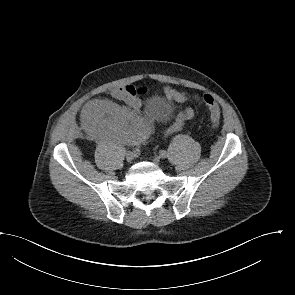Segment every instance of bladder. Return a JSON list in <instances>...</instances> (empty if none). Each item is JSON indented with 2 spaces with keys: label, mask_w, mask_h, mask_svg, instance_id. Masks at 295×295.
Here are the masks:
<instances>
[{
  "label": "bladder",
  "mask_w": 295,
  "mask_h": 295,
  "mask_svg": "<svg viewBox=\"0 0 295 295\" xmlns=\"http://www.w3.org/2000/svg\"><path fill=\"white\" fill-rule=\"evenodd\" d=\"M149 113H152L156 118L166 119L173 114V107L161 101H153L150 104Z\"/></svg>",
  "instance_id": "31cf9c89"
}]
</instances>
